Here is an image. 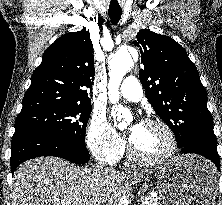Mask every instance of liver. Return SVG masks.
Segmentation results:
<instances>
[{
  "instance_id": "liver-1",
  "label": "liver",
  "mask_w": 222,
  "mask_h": 205,
  "mask_svg": "<svg viewBox=\"0 0 222 205\" xmlns=\"http://www.w3.org/2000/svg\"><path fill=\"white\" fill-rule=\"evenodd\" d=\"M123 184L113 169L79 168L57 157H39L13 175L11 205H102Z\"/></svg>"
}]
</instances>
